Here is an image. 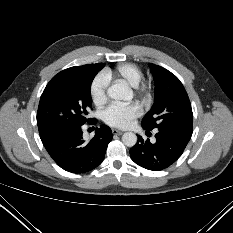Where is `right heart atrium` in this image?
Returning a JSON list of instances; mask_svg holds the SVG:
<instances>
[{
    "instance_id": "d8ad5b80",
    "label": "right heart atrium",
    "mask_w": 233,
    "mask_h": 233,
    "mask_svg": "<svg viewBox=\"0 0 233 233\" xmlns=\"http://www.w3.org/2000/svg\"><path fill=\"white\" fill-rule=\"evenodd\" d=\"M109 84L108 77L104 72L99 73L94 77L90 84V96L93 103L97 106H102L107 102V88Z\"/></svg>"
}]
</instances>
